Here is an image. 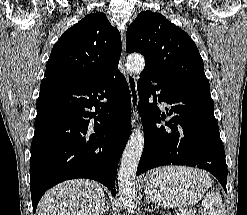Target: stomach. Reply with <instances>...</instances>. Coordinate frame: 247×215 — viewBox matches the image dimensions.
<instances>
[{
  "mask_svg": "<svg viewBox=\"0 0 247 215\" xmlns=\"http://www.w3.org/2000/svg\"><path fill=\"white\" fill-rule=\"evenodd\" d=\"M208 186L206 176L201 171L165 167L148 175L145 192L152 201L163 207L182 208L195 204Z\"/></svg>",
  "mask_w": 247,
  "mask_h": 215,
  "instance_id": "obj_1",
  "label": "stomach"
}]
</instances>
